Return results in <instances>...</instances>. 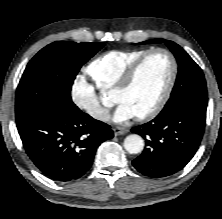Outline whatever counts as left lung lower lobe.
<instances>
[{
  "instance_id": "1",
  "label": "left lung lower lobe",
  "mask_w": 222,
  "mask_h": 219,
  "mask_svg": "<svg viewBox=\"0 0 222 219\" xmlns=\"http://www.w3.org/2000/svg\"><path fill=\"white\" fill-rule=\"evenodd\" d=\"M206 108L190 101L164 107L152 121L133 127L146 140L142 154L132 161L142 174L165 177L181 170L194 156L203 136Z\"/></svg>"
}]
</instances>
